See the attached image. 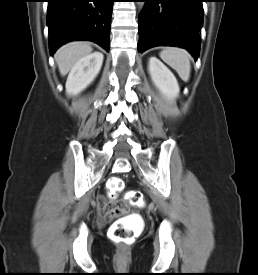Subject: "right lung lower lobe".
<instances>
[{"label":"right lung lower lobe","mask_w":258,"mask_h":275,"mask_svg":"<svg viewBox=\"0 0 258 275\" xmlns=\"http://www.w3.org/2000/svg\"><path fill=\"white\" fill-rule=\"evenodd\" d=\"M49 48L53 54L64 43L93 41L109 51L114 0H47Z\"/></svg>","instance_id":"right-lung-lower-lobe-1"}]
</instances>
